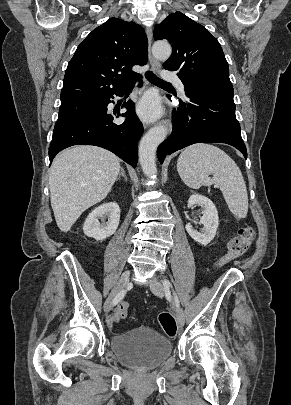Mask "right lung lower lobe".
<instances>
[{
  "label": "right lung lower lobe",
  "instance_id": "1",
  "mask_svg": "<svg viewBox=\"0 0 291 405\" xmlns=\"http://www.w3.org/2000/svg\"><path fill=\"white\" fill-rule=\"evenodd\" d=\"M141 78L139 75L133 82ZM128 86L103 98V106L99 110L55 127L49 147L50 163L58 152L69 146L94 145L113 152L136 168L137 142L143 133V126L135 114L134 103L128 100L123 104L127 109L124 114L107 112V105L114 98L113 95H123ZM119 116H126L125 121L114 123L113 120Z\"/></svg>",
  "mask_w": 291,
  "mask_h": 405
}]
</instances>
